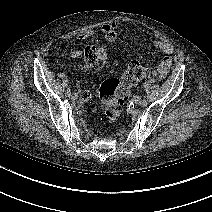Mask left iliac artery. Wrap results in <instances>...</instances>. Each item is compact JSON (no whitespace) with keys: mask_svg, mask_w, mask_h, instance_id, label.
I'll return each instance as SVG.
<instances>
[{"mask_svg":"<svg viewBox=\"0 0 212 212\" xmlns=\"http://www.w3.org/2000/svg\"><path fill=\"white\" fill-rule=\"evenodd\" d=\"M147 105H148V101L145 98H143L141 106L146 107Z\"/></svg>","mask_w":212,"mask_h":212,"instance_id":"1","label":"left iliac artery"}]
</instances>
